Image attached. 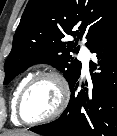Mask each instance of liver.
<instances>
[{"instance_id": "1", "label": "liver", "mask_w": 117, "mask_h": 136, "mask_svg": "<svg viewBox=\"0 0 117 136\" xmlns=\"http://www.w3.org/2000/svg\"><path fill=\"white\" fill-rule=\"evenodd\" d=\"M8 136H35V134L22 130L11 132Z\"/></svg>"}]
</instances>
